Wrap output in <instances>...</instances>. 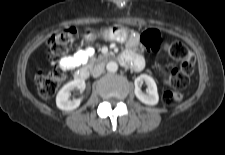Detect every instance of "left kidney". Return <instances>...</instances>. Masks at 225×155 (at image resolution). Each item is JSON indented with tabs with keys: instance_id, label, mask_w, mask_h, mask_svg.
Masks as SVG:
<instances>
[{
	"instance_id": "obj_1",
	"label": "left kidney",
	"mask_w": 225,
	"mask_h": 155,
	"mask_svg": "<svg viewBox=\"0 0 225 155\" xmlns=\"http://www.w3.org/2000/svg\"><path fill=\"white\" fill-rule=\"evenodd\" d=\"M143 81H145V83L148 86L147 94L143 93L139 87ZM134 84H135L134 90L135 95L142 103L147 105H156L158 103L159 96L157 91V85L151 76L147 74H141L139 77L135 79Z\"/></svg>"
}]
</instances>
